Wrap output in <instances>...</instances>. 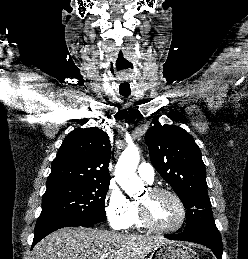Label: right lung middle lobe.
Masks as SVG:
<instances>
[{
	"label": "right lung middle lobe",
	"instance_id": "1",
	"mask_svg": "<svg viewBox=\"0 0 248 259\" xmlns=\"http://www.w3.org/2000/svg\"><path fill=\"white\" fill-rule=\"evenodd\" d=\"M109 182L47 184L38 220L61 218L85 224L106 220L105 197Z\"/></svg>",
	"mask_w": 248,
	"mask_h": 259
}]
</instances>
